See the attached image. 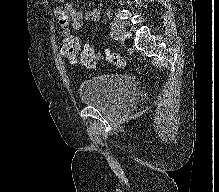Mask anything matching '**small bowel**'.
Returning a JSON list of instances; mask_svg holds the SVG:
<instances>
[{"label": "small bowel", "mask_w": 219, "mask_h": 192, "mask_svg": "<svg viewBox=\"0 0 219 192\" xmlns=\"http://www.w3.org/2000/svg\"><path fill=\"white\" fill-rule=\"evenodd\" d=\"M54 3V15L59 25L66 30V36L68 31H79L86 20L98 21L100 19V8H94L84 13L81 10H77L74 4L67 0H54ZM77 40L79 45L80 38L77 37Z\"/></svg>", "instance_id": "1"}]
</instances>
